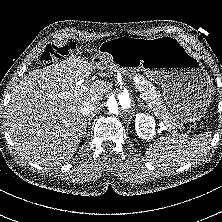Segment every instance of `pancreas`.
<instances>
[{"label": "pancreas", "mask_w": 222, "mask_h": 222, "mask_svg": "<svg viewBox=\"0 0 222 222\" xmlns=\"http://www.w3.org/2000/svg\"><path fill=\"white\" fill-rule=\"evenodd\" d=\"M136 88L148 104V107L154 112L155 116L159 120H162L169 128L171 126L172 129L175 125V119L163 104L164 101L161 98L160 92L156 90V87L142 75H138Z\"/></svg>", "instance_id": "obj_1"}]
</instances>
